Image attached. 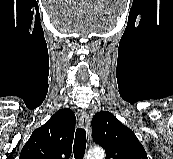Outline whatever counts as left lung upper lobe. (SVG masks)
Masks as SVG:
<instances>
[{
  "label": "left lung upper lobe",
  "instance_id": "1",
  "mask_svg": "<svg viewBox=\"0 0 173 159\" xmlns=\"http://www.w3.org/2000/svg\"><path fill=\"white\" fill-rule=\"evenodd\" d=\"M91 124L93 141L105 149V159H148L134 132L112 113H96Z\"/></svg>",
  "mask_w": 173,
  "mask_h": 159
}]
</instances>
